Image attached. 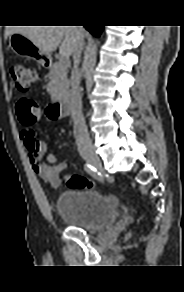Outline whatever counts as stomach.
Returning a JSON list of instances; mask_svg holds the SVG:
<instances>
[{
    "label": "stomach",
    "instance_id": "0dacf381",
    "mask_svg": "<svg viewBox=\"0 0 184 292\" xmlns=\"http://www.w3.org/2000/svg\"><path fill=\"white\" fill-rule=\"evenodd\" d=\"M9 48L15 54L32 58L41 65H45L50 56L38 48L29 38L19 33H13L9 36Z\"/></svg>",
    "mask_w": 184,
    "mask_h": 292
}]
</instances>
